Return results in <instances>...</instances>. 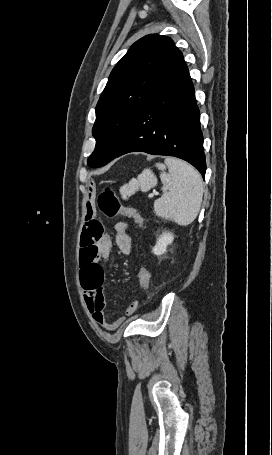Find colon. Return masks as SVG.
Segmentation results:
<instances>
[{
	"label": "colon",
	"instance_id": "obj_1",
	"mask_svg": "<svg viewBox=\"0 0 272 455\" xmlns=\"http://www.w3.org/2000/svg\"><path fill=\"white\" fill-rule=\"evenodd\" d=\"M101 211L108 217L123 215L132 219L137 225L141 224V218L138 211L130 206H123L120 199L109 189L101 193L98 199ZM150 282V271L146 265H141L138 272V289L142 296L147 293Z\"/></svg>",
	"mask_w": 272,
	"mask_h": 455
}]
</instances>
